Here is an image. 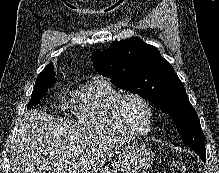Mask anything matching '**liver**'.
I'll return each mask as SVG.
<instances>
[{"label":"liver","instance_id":"obj_1","mask_svg":"<svg viewBox=\"0 0 219 173\" xmlns=\"http://www.w3.org/2000/svg\"><path fill=\"white\" fill-rule=\"evenodd\" d=\"M124 144L38 109L24 113L12 147V173H97Z\"/></svg>","mask_w":219,"mask_h":173}]
</instances>
